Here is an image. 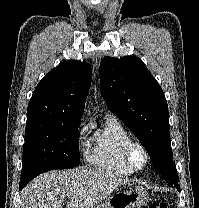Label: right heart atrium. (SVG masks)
<instances>
[{
	"label": "right heart atrium",
	"mask_w": 199,
	"mask_h": 208,
	"mask_svg": "<svg viewBox=\"0 0 199 208\" xmlns=\"http://www.w3.org/2000/svg\"><path fill=\"white\" fill-rule=\"evenodd\" d=\"M89 129L88 124H82L80 128L78 129L77 134V147L79 151L84 152L85 151V135Z\"/></svg>",
	"instance_id": "d8ad5b80"
}]
</instances>
